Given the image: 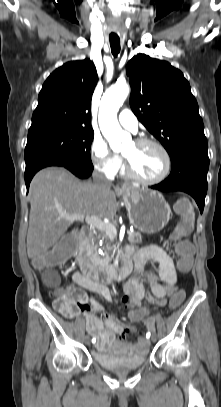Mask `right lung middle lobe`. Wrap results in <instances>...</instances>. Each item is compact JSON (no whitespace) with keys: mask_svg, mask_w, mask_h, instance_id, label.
Listing matches in <instances>:
<instances>
[{"mask_svg":"<svg viewBox=\"0 0 221 407\" xmlns=\"http://www.w3.org/2000/svg\"><path fill=\"white\" fill-rule=\"evenodd\" d=\"M93 137V130L76 127L47 126L29 129L25 162L39 155L53 154L92 170L90 147Z\"/></svg>","mask_w":221,"mask_h":407,"instance_id":"dd1d6c3e","label":"right lung middle lobe"}]
</instances>
